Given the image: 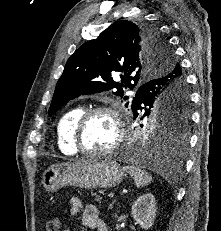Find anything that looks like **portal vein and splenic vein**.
<instances>
[{
    "mask_svg": "<svg viewBox=\"0 0 221 231\" xmlns=\"http://www.w3.org/2000/svg\"><path fill=\"white\" fill-rule=\"evenodd\" d=\"M108 197H109V198H113V197H114V193H109V194H108Z\"/></svg>",
    "mask_w": 221,
    "mask_h": 231,
    "instance_id": "portal-vein-and-splenic-vein-1",
    "label": "portal vein and splenic vein"
}]
</instances>
